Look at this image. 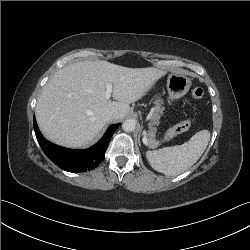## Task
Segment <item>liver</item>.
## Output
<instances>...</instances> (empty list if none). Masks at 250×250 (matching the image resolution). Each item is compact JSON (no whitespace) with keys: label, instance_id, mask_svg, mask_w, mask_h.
Listing matches in <instances>:
<instances>
[{"label":"liver","instance_id":"1","mask_svg":"<svg viewBox=\"0 0 250 250\" xmlns=\"http://www.w3.org/2000/svg\"><path fill=\"white\" fill-rule=\"evenodd\" d=\"M166 75L154 67L127 68L107 61H80L58 70L44 86L36 105V119L50 141L70 147L89 145L108 122L106 115L123 119L130 103L142 98ZM112 96L105 98L106 85Z\"/></svg>","mask_w":250,"mask_h":250}]
</instances>
